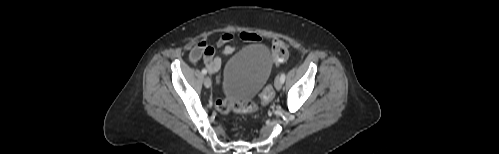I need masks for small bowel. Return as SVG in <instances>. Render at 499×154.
Here are the masks:
<instances>
[{"instance_id": "c3829d8e", "label": "small bowel", "mask_w": 499, "mask_h": 154, "mask_svg": "<svg viewBox=\"0 0 499 154\" xmlns=\"http://www.w3.org/2000/svg\"><path fill=\"white\" fill-rule=\"evenodd\" d=\"M234 40H242L248 42H259L261 37L253 32L224 33L216 42V47L221 50L224 55H230L235 51V46L231 44ZM197 58V57H195ZM222 60L220 56H213L210 60L205 61V65L210 73H217L221 68Z\"/></svg>"}]
</instances>
